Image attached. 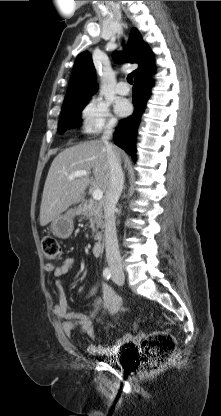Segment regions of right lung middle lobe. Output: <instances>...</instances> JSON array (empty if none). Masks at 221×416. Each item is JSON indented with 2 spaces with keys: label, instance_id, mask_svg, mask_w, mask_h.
Instances as JSON below:
<instances>
[{
  "label": "right lung middle lobe",
  "instance_id": "right-lung-middle-lobe-1",
  "mask_svg": "<svg viewBox=\"0 0 221 416\" xmlns=\"http://www.w3.org/2000/svg\"><path fill=\"white\" fill-rule=\"evenodd\" d=\"M89 100L88 98L64 102L59 122V131L64 133L71 127L80 126V113Z\"/></svg>",
  "mask_w": 221,
  "mask_h": 416
}]
</instances>
